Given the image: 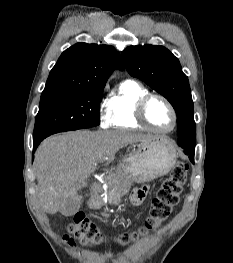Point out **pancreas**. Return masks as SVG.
<instances>
[{"label": "pancreas", "instance_id": "pancreas-1", "mask_svg": "<svg viewBox=\"0 0 233 263\" xmlns=\"http://www.w3.org/2000/svg\"><path fill=\"white\" fill-rule=\"evenodd\" d=\"M112 181L115 184L116 188L112 191L111 190L108 191V203L118 204L122 196L121 192L118 190V185L120 183V177L115 176Z\"/></svg>", "mask_w": 233, "mask_h": 263}]
</instances>
